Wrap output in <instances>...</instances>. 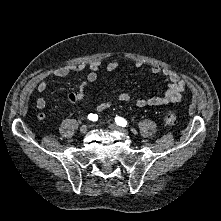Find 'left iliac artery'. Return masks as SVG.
I'll return each mask as SVG.
<instances>
[{"mask_svg":"<svg viewBox=\"0 0 221 221\" xmlns=\"http://www.w3.org/2000/svg\"><path fill=\"white\" fill-rule=\"evenodd\" d=\"M115 122L122 127H125L127 125V121L119 116L115 118Z\"/></svg>","mask_w":221,"mask_h":221,"instance_id":"1","label":"left iliac artery"}]
</instances>
